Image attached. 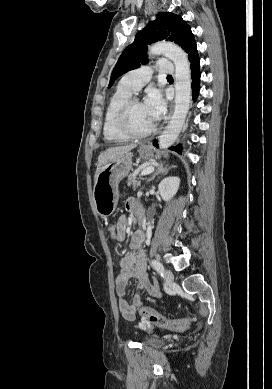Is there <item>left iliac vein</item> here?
Here are the masks:
<instances>
[{"label":"left iliac vein","instance_id":"obj_1","mask_svg":"<svg viewBox=\"0 0 272 389\" xmlns=\"http://www.w3.org/2000/svg\"><path fill=\"white\" fill-rule=\"evenodd\" d=\"M164 277L168 285H170L174 281V275L171 270L166 269L164 271Z\"/></svg>","mask_w":272,"mask_h":389}]
</instances>
